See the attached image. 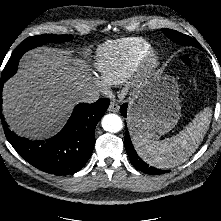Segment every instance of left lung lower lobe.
<instances>
[{
    "instance_id": "1",
    "label": "left lung lower lobe",
    "mask_w": 221,
    "mask_h": 221,
    "mask_svg": "<svg viewBox=\"0 0 221 221\" xmlns=\"http://www.w3.org/2000/svg\"><path fill=\"white\" fill-rule=\"evenodd\" d=\"M120 112L121 114L126 117V112H127V104H123L120 108ZM124 145L127 151V154L133 164V166L140 170L141 172H144L146 174H152V175H158V174H162L165 173L166 171L164 170H160L157 169L155 167H150L148 164H146L136 153L133 144L131 142L130 136H129V132L126 129L125 132V140H124Z\"/></svg>"
}]
</instances>
